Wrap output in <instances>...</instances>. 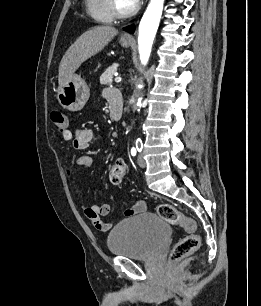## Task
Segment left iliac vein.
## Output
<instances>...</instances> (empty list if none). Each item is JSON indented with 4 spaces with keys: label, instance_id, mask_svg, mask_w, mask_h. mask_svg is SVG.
<instances>
[{
    "label": "left iliac vein",
    "instance_id": "obj_1",
    "mask_svg": "<svg viewBox=\"0 0 261 306\" xmlns=\"http://www.w3.org/2000/svg\"><path fill=\"white\" fill-rule=\"evenodd\" d=\"M137 163L141 168H145L146 167V161L144 160L143 156L141 154H139L137 156Z\"/></svg>",
    "mask_w": 261,
    "mask_h": 306
}]
</instances>
